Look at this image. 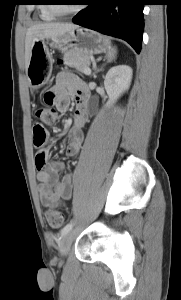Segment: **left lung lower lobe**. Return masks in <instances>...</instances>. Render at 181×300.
<instances>
[{"label":"left lung lower lobe","instance_id":"0a47b994","mask_svg":"<svg viewBox=\"0 0 181 300\" xmlns=\"http://www.w3.org/2000/svg\"><path fill=\"white\" fill-rule=\"evenodd\" d=\"M88 7L73 17L80 26L127 41L141 50L145 0H88Z\"/></svg>","mask_w":181,"mask_h":300}]
</instances>
